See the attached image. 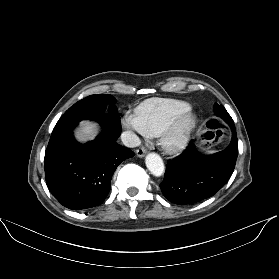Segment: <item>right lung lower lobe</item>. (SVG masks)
<instances>
[{
	"label": "right lung lower lobe",
	"mask_w": 279,
	"mask_h": 279,
	"mask_svg": "<svg viewBox=\"0 0 279 279\" xmlns=\"http://www.w3.org/2000/svg\"><path fill=\"white\" fill-rule=\"evenodd\" d=\"M103 133L86 144L72 136L74 126L55 130L45 152L46 183L53 196L72 210L101 204L108 195L117 166L134 152L117 144L120 117L114 114L96 118Z\"/></svg>",
	"instance_id": "98d812e1"
}]
</instances>
